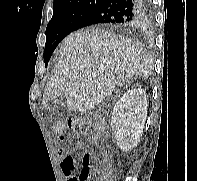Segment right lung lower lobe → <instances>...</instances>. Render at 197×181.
I'll return each instance as SVG.
<instances>
[{
    "label": "right lung lower lobe",
    "mask_w": 197,
    "mask_h": 181,
    "mask_svg": "<svg viewBox=\"0 0 197 181\" xmlns=\"http://www.w3.org/2000/svg\"><path fill=\"white\" fill-rule=\"evenodd\" d=\"M150 8V0H103L81 18L75 30L96 24L119 29L141 27L151 13Z\"/></svg>",
    "instance_id": "1"
}]
</instances>
